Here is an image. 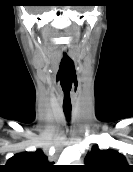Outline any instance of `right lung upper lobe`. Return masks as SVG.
I'll return each instance as SVG.
<instances>
[{
  "label": "right lung upper lobe",
  "instance_id": "right-lung-upper-lobe-1",
  "mask_svg": "<svg viewBox=\"0 0 133 172\" xmlns=\"http://www.w3.org/2000/svg\"><path fill=\"white\" fill-rule=\"evenodd\" d=\"M0 169L2 172H47L49 165L47 156L38 149L14 155Z\"/></svg>",
  "mask_w": 133,
  "mask_h": 172
}]
</instances>
